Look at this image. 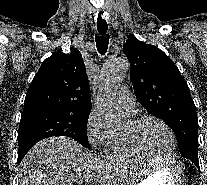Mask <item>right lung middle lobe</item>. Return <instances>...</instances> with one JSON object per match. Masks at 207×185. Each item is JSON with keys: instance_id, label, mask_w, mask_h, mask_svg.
<instances>
[{"instance_id": "obj_1", "label": "right lung middle lobe", "mask_w": 207, "mask_h": 185, "mask_svg": "<svg viewBox=\"0 0 207 185\" xmlns=\"http://www.w3.org/2000/svg\"><path fill=\"white\" fill-rule=\"evenodd\" d=\"M89 114L53 110L22 113L18 129V164L38 141L51 136H67L91 149L86 133Z\"/></svg>"}]
</instances>
